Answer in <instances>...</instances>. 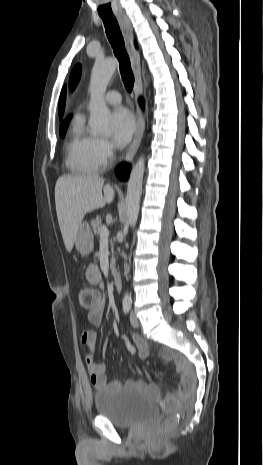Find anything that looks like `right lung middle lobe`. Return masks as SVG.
<instances>
[{"label": "right lung middle lobe", "instance_id": "right-lung-middle-lobe-1", "mask_svg": "<svg viewBox=\"0 0 263 465\" xmlns=\"http://www.w3.org/2000/svg\"><path fill=\"white\" fill-rule=\"evenodd\" d=\"M69 121H70V118L67 119V120H64L63 122H61V125H60V128H59L60 136L64 137V134H65V131H66L67 127H68Z\"/></svg>", "mask_w": 263, "mask_h": 465}]
</instances>
